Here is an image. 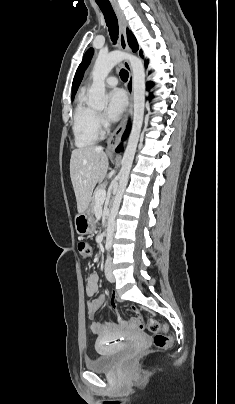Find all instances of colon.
<instances>
[{
	"mask_svg": "<svg viewBox=\"0 0 235 404\" xmlns=\"http://www.w3.org/2000/svg\"><path fill=\"white\" fill-rule=\"evenodd\" d=\"M78 250L82 259L84 260H87L92 256V247L84 241L78 244ZM130 322L133 327L139 330H143L145 327V324L141 318H133ZM162 328H164V326L159 320L155 318H151L149 320L148 329L154 334V346L158 349H167L171 346V339L169 336L159 333Z\"/></svg>",
	"mask_w": 235,
	"mask_h": 404,
	"instance_id": "1",
	"label": "colon"
}]
</instances>
